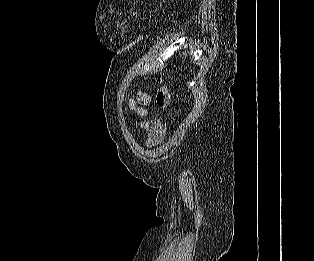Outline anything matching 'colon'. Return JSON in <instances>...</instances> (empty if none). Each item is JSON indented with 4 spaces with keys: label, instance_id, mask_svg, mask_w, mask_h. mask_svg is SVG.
<instances>
[{
    "label": "colon",
    "instance_id": "5ec220e1",
    "mask_svg": "<svg viewBox=\"0 0 314 261\" xmlns=\"http://www.w3.org/2000/svg\"><path fill=\"white\" fill-rule=\"evenodd\" d=\"M157 82L160 84V87L156 92L155 102L159 107L165 108L169 105L171 99L167 81L163 77H158Z\"/></svg>",
    "mask_w": 314,
    "mask_h": 261
}]
</instances>
